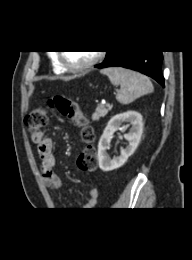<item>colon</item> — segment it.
<instances>
[{
	"label": "colon",
	"instance_id": "colon-1",
	"mask_svg": "<svg viewBox=\"0 0 192 260\" xmlns=\"http://www.w3.org/2000/svg\"><path fill=\"white\" fill-rule=\"evenodd\" d=\"M48 106L51 109L59 111L62 115L73 119L80 127V137L85 143V147L78 157L77 165L83 171L94 170L96 166V151L92 145L94 133L92 128L87 124L86 118L81 113L79 105L65 96H54L48 101ZM47 121V108L42 106L36 107L27 116V129L32 135L36 134L47 124Z\"/></svg>",
	"mask_w": 192,
	"mask_h": 260
}]
</instances>
